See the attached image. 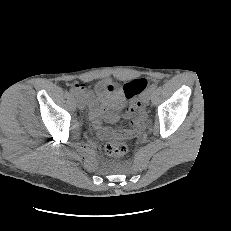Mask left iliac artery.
Wrapping results in <instances>:
<instances>
[{
  "label": "left iliac artery",
  "mask_w": 231,
  "mask_h": 231,
  "mask_svg": "<svg viewBox=\"0 0 231 231\" xmlns=\"http://www.w3.org/2000/svg\"><path fill=\"white\" fill-rule=\"evenodd\" d=\"M152 91L155 90L157 88V84L153 83L150 85L149 87Z\"/></svg>",
  "instance_id": "1"
}]
</instances>
